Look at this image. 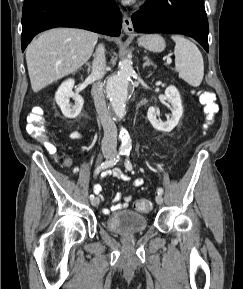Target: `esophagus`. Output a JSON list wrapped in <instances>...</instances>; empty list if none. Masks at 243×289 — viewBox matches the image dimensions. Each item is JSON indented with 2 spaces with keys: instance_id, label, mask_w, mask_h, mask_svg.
Listing matches in <instances>:
<instances>
[{
  "instance_id": "obj_1",
  "label": "esophagus",
  "mask_w": 243,
  "mask_h": 289,
  "mask_svg": "<svg viewBox=\"0 0 243 289\" xmlns=\"http://www.w3.org/2000/svg\"><path fill=\"white\" fill-rule=\"evenodd\" d=\"M122 28L126 34H132L134 32L132 21L125 12H123Z\"/></svg>"
}]
</instances>
